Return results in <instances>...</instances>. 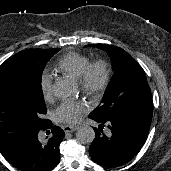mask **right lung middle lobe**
<instances>
[{
    "label": "right lung middle lobe",
    "mask_w": 171,
    "mask_h": 171,
    "mask_svg": "<svg viewBox=\"0 0 171 171\" xmlns=\"http://www.w3.org/2000/svg\"><path fill=\"white\" fill-rule=\"evenodd\" d=\"M59 50L21 51L0 65V152L5 158L47 122L42 72Z\"/></svg>",
    "instance_id": "1"
}]
</instances>
